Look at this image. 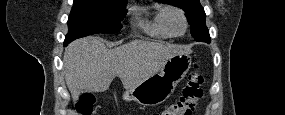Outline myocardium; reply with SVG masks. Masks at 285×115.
Returning <instances> with one entry per match:
<instances>
[{
	"label": "myocardium",
	"mask_w": 285,
	"mask_h": 115,
	"mask_svg": "<svg viewBox=\"0 0 285 115\" xmlns=\"http://www.w3.org/2000/svg\"><path fill=\"white\" fill-rule=\"evenodd\" d=\"M171 12H176L178 13L180 16H181V19L183 21V30L179 33H175L171 30L170 26H169V23H168V14L171 13ZM161 20H162V23L165 27V29L167 30V32L171 35V36H174V37H177V36H181L183 34H185V32L187 31V28H188V20H187V16L185 14V12L176 7V6H167L165 7L163 10H162V13H161Z\"/></svg>",
	"instance_id": "myocardium-1"
}]
</instances>
